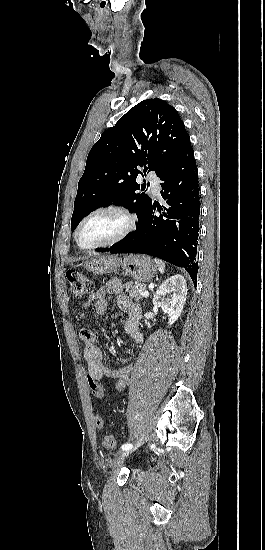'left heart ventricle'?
<instances>
[{
	"label": "left heart ventricle",
	"instance_id": "b2bd125f",
	"mask_svg": "<svg viewBox=\"0 0 265 550\" xmlns=\"http://www.w3.org/2000/svg\"><path fill=\"white\" fill-rule=\"evenodd\" d=\"M125 226L122 216L114 212H101L89 218L81 227L79 242L84 247L109 241L118 235Z\"/></svg>",
	"mask_w": 265,
	"mask_h": 550
}]
</instances>
